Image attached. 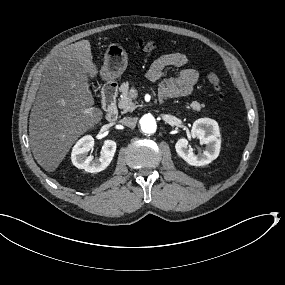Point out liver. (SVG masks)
Segmentation results:
<instances>
[{"label": "liver", "mask_w": 285, "mask_h": 285, "mask_svg": "<svg viewBox=\"0 0 285 285\" xmlns=\"http://www.w3.org/2000/svg\"><path fill=\"white\" fill-rule=\"evenodd\" d=\"M97 73L88 40L54 51L48 60L29 118L30 148L46 171H55L74 142L101 121L88 83Z\"/></svg>", "instance_id": "1"}]
</instances>
